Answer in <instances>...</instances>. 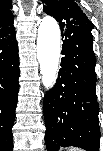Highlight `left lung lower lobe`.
Wrapping results in <instances>:
<instances>
[{"instance_id":"left-lung-lower-lobe-1","label":"left lung lower lobe","mask_w":103,"mask_h":151,"mask_svg":"<svg viewBox=\"0 0 103 151\" xmlns=\"http://www.w3.org/2000/svg\"><path fill=\"white\" fill-rule=\"evenodd\" d=\"M61 69L57 83L45 95V142L48 151L76 146L99 151V105L91 30H62Z\"/></svg>"}]
</instances>
